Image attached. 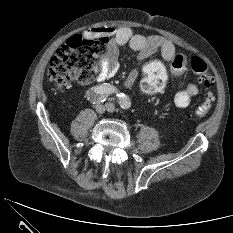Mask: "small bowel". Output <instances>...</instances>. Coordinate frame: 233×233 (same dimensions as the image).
Instances as JSON below:
<instances>
[{
  "instance_id": "small-bowel-1",
  "label": "small bowel",
  "mask_w": 233,
  "mask_h": 233,
  "mask_svg": "<svg viewBox=\"0 0 233 233\" xmlns=\"http://www.w3.org/2000/svg\"><path fill=\"white\" fill-rule=\"evenodd\" d=\"M89 35H104L110 37L111 43L105 59L101 62L97 75L98 82H104L115 75L118 70V50L120 47L128 45L138 53L140 61H146L154 53L160 52L166 62H170L175 56L174 44L157 35L144 36L136 34L127 27H102L88 30ZM138 78L136 70L131 71L124 81L126 87H131ZM199 88L195 83H189L183 90L177 92L174 97V104L177 108H185L191 99L198 94Z\"/></svg>"
}]
</instances>
